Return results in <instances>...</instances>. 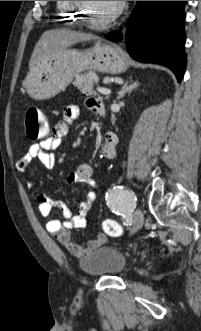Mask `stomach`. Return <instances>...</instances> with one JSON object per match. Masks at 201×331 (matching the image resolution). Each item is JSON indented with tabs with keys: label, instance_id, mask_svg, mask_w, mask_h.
<instances>
[{
	"label": "stomach",
	"instance_id": "obj_1",
	"mask_svg": "<svg viewBox=\"0 0 201 331\" xmlns=\"http://www.w3.org/2000/svg\"><path fill=\"white\" fill-rule=\"evenodd\" d=\"M128 65L125 53L111 44L97 42L86 50L65 48L30 70L25 86L32 98L45 100L65 90L81 72L97 70L119 74L126 71Z\"/></svg>",
	"mask_w": 201,
	"mask_h": 331
}]
</instances>
